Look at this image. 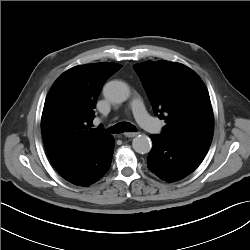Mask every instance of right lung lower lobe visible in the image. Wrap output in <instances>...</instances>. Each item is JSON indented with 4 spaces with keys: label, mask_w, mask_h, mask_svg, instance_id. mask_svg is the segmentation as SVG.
Instances as JSON below:
<instances>
[{
    "label": "right lung lower lobe",
    "mask_w": 250,
    "mask_h": 250,
    "mask_svg": "<svg viewBox=\"0 0 250 250\" xmlns=\"http://www.w3.org/2000/svg\"><path fill=\"white\" fill-rule=\"evenodd\" d=\"M113 151L114 138L110 136L92 152L57 171L72 184L88 186L98 181L108 171Z\"/></svg>",
    "instance_id": "right-lung-lower-lobe-1"
}]
</instances>
